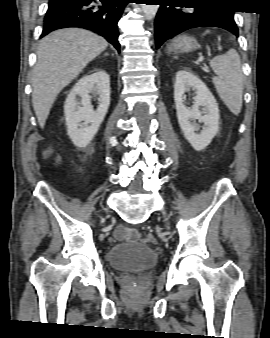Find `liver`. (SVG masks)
I'll return each instance as SVG.
<instances>
[{"label":"liver","instance_id":"6515ba94","mask_svg":"<svg viewBox=\"0 0 270 338\" xmlns=\"http://www.w3.org/2000/svg\"><path fill=\"white\" fill-rule=\"evenodd\" d=\"M107 46L103 37L78 28L54 31L40 41L33 70L32 103L41 128L57 95Z\"/></svg>","mask_w":270,"mask_h":338}]
</instances>
